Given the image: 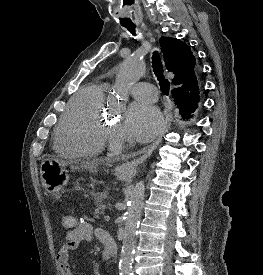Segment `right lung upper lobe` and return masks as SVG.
Listing matches in <instances>:
<instances>
[{"label": "right lung upper lobe", "instance_id": "1", "mask_svg": "<svg viewBox=\"0 0 263 275\" xmlns=\"http://www.w3.org/2000/svg\"><path fill=\"white\" fill-rule=\"evenodd\" d=\"M160 43L166 67L175 75L173 83L177 87L174 89L185 90L183 108L187 113H192L197 109L200 100L198 81L191 78L196 65L195 57L190 47L179 39L162 37Z\"/></svg>", "mask_w": 263, "mask_h": 275}]
</instances>
